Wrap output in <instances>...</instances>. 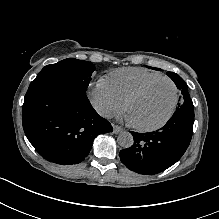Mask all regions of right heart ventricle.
Instances as JSON below:
<instances>
[{
    "label": "right heart ventricle",
    "instance_id": "obj_1",
    "mask_svg": "<svg viewBox=\"0 0 219 219\" xmlns=\"http://www.w3.org/2000/svg\"><path fill=\"white\" fill-rule=\"evenodd\" d=\"M162 77V74L141 68H121L109 73L104 81L114 96L124 104L126 99L145 83Z\"/></svg>",
    "mask_w": 219,
    "mask_h": 219
}]
</instances>
